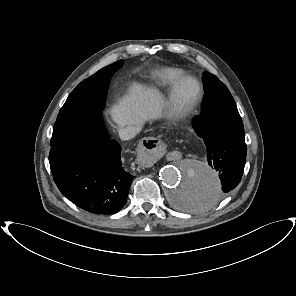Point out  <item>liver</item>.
<instances>
[{
	"label": "liver",
	"mask_w": 296,
	"mask_h": 296,
	"mask_svg": "<svg viewBox=\"0 0 296 296\" xmlns=\"http://www.w3.org/2000/svg\"><path fill=\"white\" fill-rule=\"evenodd\" d=\"M163 96L151 87L134 83L118 105L111 110L114 121L120 126H142L149 119L161 116Z\"/></svg>",
	"instance_id": "1"
}]
</instances>
